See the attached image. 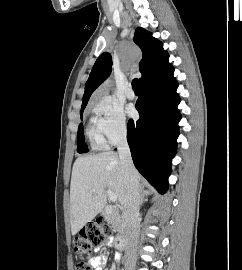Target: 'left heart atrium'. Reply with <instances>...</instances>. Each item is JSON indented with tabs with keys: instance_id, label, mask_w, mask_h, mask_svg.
<instances>
[{
	"instance_id": "1",
	"label": "left heart atrium",
	"mask_w": 242,
	"mask_h": 270,
	"mask_svg": "<svg viewBox=\"0 0 242 270\" xmlns=\"http://www.w3.org/2000/svg\"><path fill=\"white\" fill-rule=\"evenodd\" d=\"M127 113H128L129 116L133 117L135 115V109H134V107L133 106H129L127 108Z\"/></svg>"
}]
</instances>
